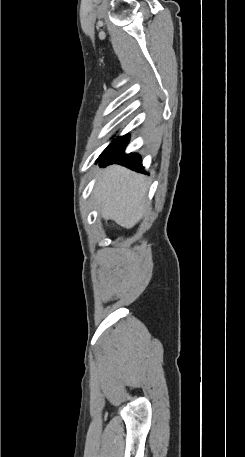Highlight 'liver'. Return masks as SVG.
<instances>
[{
	"label": "liver",
	"instance_id": "1",
	"mask_svg": "<svg viewBox=\"0 0 245 457\" xmlns=\"http://www.w3.org/2000/svg\"><path fill=\"white\" fill-rule=\"evenodd\" d=\"M93 192L103 218H112L125 229H132L144 214L145 178L125 166L112 164L104 168Z\"/></svg>",
	"mask_w": 245,
	"mask_h": 457
}]
</instances>
